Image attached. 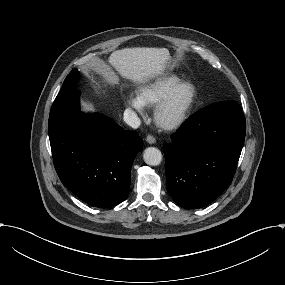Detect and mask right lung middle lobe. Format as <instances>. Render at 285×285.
Segmentation results:
<instances>
[{
    "mask_svg": "<svg viewBox=\"0 0 285 285\" xmlns=\"http://www.w3.org/2000/svg\"><path fill=\"white\" fill-rule=\"evenodd\" d=\"M78 79H79V72L77 71V69H73L70 72V74L66 77L63 86L61 88V91L73 87L74 84L78 81Z\"/></svg>",
    "mask_w": 285,
    "mask_h": 285,
    "instance_id": "dd1d6c3e",
    "label": "right lung middle lobe"
}]
</instances>
